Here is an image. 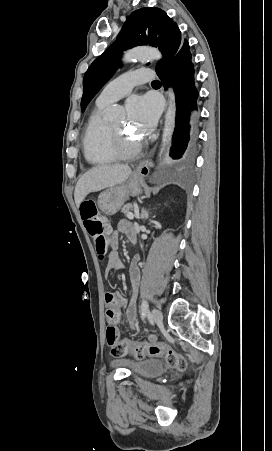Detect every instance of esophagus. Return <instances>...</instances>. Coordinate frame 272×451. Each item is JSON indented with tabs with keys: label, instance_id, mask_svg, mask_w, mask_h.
<instances>
[{
	"label": "esophagus",
	"instance_id": "1",
	"mask_svg": "<svg viewBox=\"0 0 272 451\" xmlns=\"http://www.w3.org/2000/svg\"><path fill=\"white\" fill-rule=\"evenodd\" d=\"M148 163L149 160H143L135 168V172L138 175V177H145L149 173Z\"/></svg>",
	"mask_w": 272,
	"mask_h": 451
}]
</instances>
